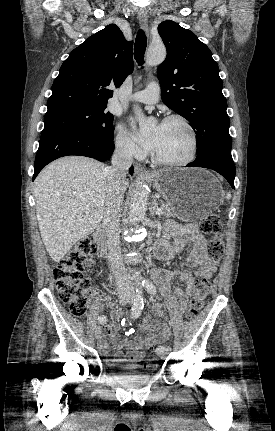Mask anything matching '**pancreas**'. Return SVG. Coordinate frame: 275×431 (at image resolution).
Listing matches in <instances>:
<instances>
[{
	"mask_svg": "<svg viewBox=\"0 0 275 431\" xmlns=\"http://www.w3.org/2000/svg\"><path fill=\"white\" fill-rule=\"evenodd\" d=\"M160 208L162 209L161 216L163 219L175 217V213L169 209V205L161 201Z\"/></svg>",
	"mask_w": 275,
	"mask_h": 431,
	"instance_id": "pancreas-1",
	"label": "pancreas"
}]
</instances>
